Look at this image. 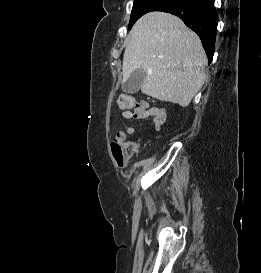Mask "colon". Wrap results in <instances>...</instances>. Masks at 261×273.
<instances>
[{"label":"colon","instance_id":"5ec220e1","mask_svg":"<svg viewBox=\"0 0 261 273\" xmlns=\"http://www.w3.org/2000/svg\"><path fill=\"white\" fill-rule=\"evenodd\" d=\"M117 103L120 108H127L134 112V118L137 119L144 114L143 102H138L131 95H122L118 98ZM135 144L126 143L124 135L118 133L114 136L111 143L112 156L115 163L119 167H123L129 158V155L133 152Z\"/></svg>","mask_w":261,"mask_h":273}]
</instances>
